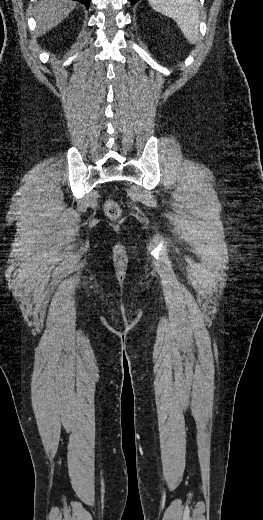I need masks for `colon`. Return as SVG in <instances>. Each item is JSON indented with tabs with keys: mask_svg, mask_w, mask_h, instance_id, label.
I'll return each instance as SVG.
<instances>
[{
	"mask_svg": "<svg viewBox=\"0 0 263 520\" xmlns=\"http://www.w3.org/2000/svg\"><path fill=\"white\" fill-rule=\"evenodd\" d=\"M106 215L111 219H116L121 214L120 206L113 200H109L105 205Z\"/></svg>",
	"mask_w": 263,
	"mask_h": 520,
	"instance_id": "1",
	"label": "colon"
}]
</instances>
